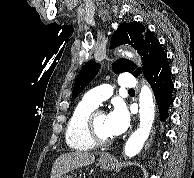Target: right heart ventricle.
Returning a JSON list of instances; mask_svg holds the SVG:
<instances>
[{"label":"right heart ventricle","instance_id":"obj_1","mask_svg":"<svg viewBox=\"0 0 194 178\" xmlns=\"http://www.w3.org/2000/svg\"><path fill=\"white\" fill-rule=\"evenodd\" d=\"M95 109L96 106L85 100L80 101L75 106L65 131V140L71 149L88 151L96 146L90 139L87 130V118Z\"/></svg>","mask_w":194,"mask_h":178}]
</instances>
